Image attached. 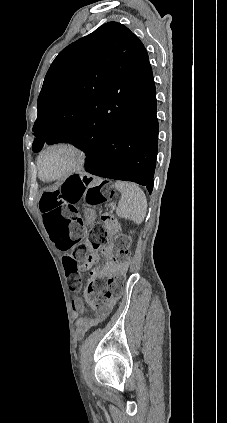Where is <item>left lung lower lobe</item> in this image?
<instances>
[{
    "mask_svg": "<svg viewBox=\"0 0 227 423\" xmlns=\"http://www.w3.org/2000/svg\"><path fill=\"white\" fill-rule=\"evenodd\" d=\"M156 105L153 85L141 112H109L100 120L95 133L74 139L71 143L86 154V171L136 182L151 193L159 132Z\"/></svg>",
    "mask_w": 227,
    "mask_h": 423,
    "instance_id": "1",
    "label": "left lung lower lobe"
}]
</instances>
